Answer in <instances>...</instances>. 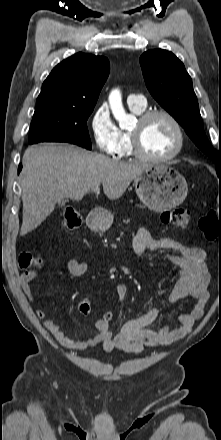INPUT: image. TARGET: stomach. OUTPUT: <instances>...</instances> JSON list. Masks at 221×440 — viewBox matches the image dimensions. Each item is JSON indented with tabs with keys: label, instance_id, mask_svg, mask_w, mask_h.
Segmentation results:
<instances>
[{
	"label": "stomach",
	"instance_id": "obj_1",
	"mask_svg": "<svg viewBox=\"0 0 221 440\" xmlns=\"http://www.w3.org/2000/svg\"><path fill=\"white\" fill-rule=\"evenodd\" d=\"M139 199L151 210L164 212L180 205L187 196L185 178L167 165H151L134 179ZM111 218L99 221L107 226Z\"/></svg>",
	"mask_w": 221,
	"mask_h": 440
}]
</instances>
